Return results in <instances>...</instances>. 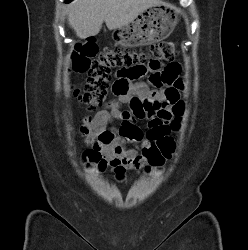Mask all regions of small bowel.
<instances>
[{"label":"small bowel","instance_id":"1","mask_svg":"<svg viewBox=\"0 0 248 250\" xmlns=\"http://www.w3.org/2000/svg\"><path fill=\"white\" fill-rule=\"evenodd\" d=\"M139 70V77L145 73H154L149 65L140 66ZM159 71H168L175 77L173 87L179 94L178 90L182 87L180 66L168 64L160 66ZM123 72L121 70L118 73L112 85L115 98L94 116L85 117L80 128L85 142L92 146L91 161L100 170L108 166L113 168L118 179L123 178L128 170H138L152 163L155 136L176 130L179 121L174 118L181 113L175 111L174 106L166 101L163 90H150L144 83L132 82ZM135 97L158 103L151 113L145 115L149 120L145 134L133 123V118H137L133 111L121 110L122 105L130 104ZM114 120L121 121V127H109ZM126 141L137 144L140 152L136 148H127Z\"/></svg>","mask_w":248,"mask_h":250}]
</instances>
